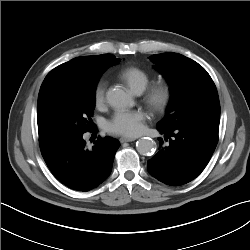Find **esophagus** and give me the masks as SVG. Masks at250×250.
<instances>
[{
  "mask_svg": "<svg viewBox=\"0 0 250 250\" xmlns=\"http://www.w3.org/2000/svg\"><path fill=\"white\" fill-rule=\"evenodd\" d=\"M135 140V138H128V137H121L120 138V142L121 143H124V142H132V141H134Z\"/></svg>",
  "mask_w": 250,
  "mask_h": 250,
  "instance_id": "34e87169",
  "label": "esophagus"
}]
</instances>
